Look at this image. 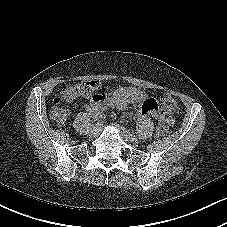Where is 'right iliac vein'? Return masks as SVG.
I'll return each mask as SVG.
<instances>
[{
	"instance_id": "right-iliac-vein-1",
	"label": "right iliac vein",
	"mask_w": 227,
	"mask_h": 227,
	"mask_svg": "<svg viewBox=\"0 0 227 227\" xmlns=\"http://www.w3.org/2000/svg\"><path fill=\"white\" fill-rule=\"evenodd\" d=\"M99 132V126H90L89 136L90 137H96Z\"/></svg>"
}]
</instances>
